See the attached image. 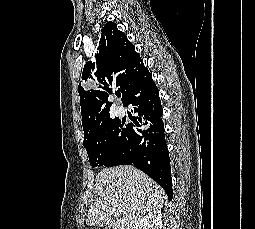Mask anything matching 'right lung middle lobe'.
Wrapping results in <instances>:
<instances>
[{"instance_id":"right-lung-middle-lobe-1","label":"right lung middle lobe","mask_w":255,"mask_h":229,"mask_svg":"<svg viewBox=\"0 0 255 229\" xmlns=\"http://www.w3.org/2000/svg\"><path fill=\"white\" fill-rule=\"evenodd\" d=\"M92 167L119 165L133 155V140L129 126L118 118H109L83 142Z\"/></svg>"}]
</instances>
